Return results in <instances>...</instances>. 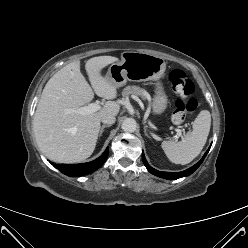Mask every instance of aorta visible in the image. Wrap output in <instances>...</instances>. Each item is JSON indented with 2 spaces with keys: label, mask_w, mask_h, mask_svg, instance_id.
Returning <instances> with one entry per match:
<instances>
[{
  "label": "aorta",
  "mask_w": 248,
  "mask_h": 248,
  "mask_svg": "<svg viewBox=\"0 0 248 248\" xmlns=\"http://www.w3.org/2000/svg\"><path fill=\"white\" fill-rule=\"evenodd\" d=\"M121 128L125 132H134L137 128V123L133 118H127L123 121Z\"/></svg>",
  "instance_id": "762f6f07"
}]
</instances>
